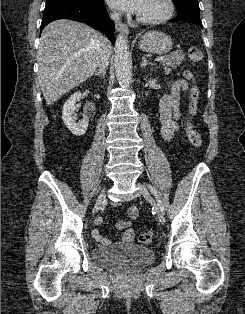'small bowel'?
Masks as SVG:
<instances>
[{
	"instance_id": "c3829d8e",
	"label": "small bowel",
	"mask_w": 245,
	"mask_h": 314,
	"mask_svg": "<svg viewBox=\"0 0 245 314\" xmlns=\"http://www.w3.org/2000/svg\"><path fill=\"white\" fill-rule=\"evenodd\" d=\"M192 80V73L187 70L184 71L182 79L173 83L169 87V91L164 94L160 101V133L166 141H170L179 131L178 119L180 117L181 98L188 87V83ZM128 212L132 219L138 217V209L135 205H131ZM129 226L130 223L127 221H121L117 224V227L123 230L121 237L123 243H130L135 240L136 232ZM94 236L102 244L108 245L110 243V241L102 237L98 231H94Z\"/></svg>"
}]
</instances>
